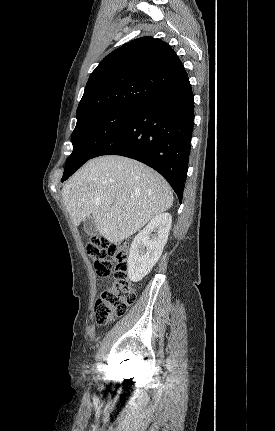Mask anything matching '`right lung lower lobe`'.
Returning <instances> with one entry per match:
<instances>
[{
  "label": "right lung lower lobe",
  "mask_w": 275,
  "mask_h": 431,
  "mask_svg": "<svg viewBox=\"0 0 275 431\" xmlns=\"http://www.w3.org/2000/svg\"><path fill=\"white\" fill-rule=\"evenodd\" d=\"M193 125L194 98L186 77L142 104L92 158L121 155L143 162L169 182L181 202Z\"/></svg>",
  "instance_id": "obj_1"
}]
</instances>
